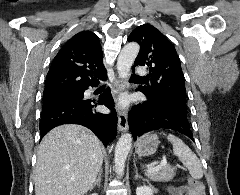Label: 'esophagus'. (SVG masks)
Wrapping results in <instances>:
<instances>
[{
  "instance_id": "1",
  "label": "esophagus",
  "mask_w": 240,
  "mask_h": 195,
  "mask_svg": "<svg viewBox=\"0 0 240 195\" xmlns=\"http://www.w3.org/2000/svg\"><path fill=\"white\" fill-rule=\"evenodd\" d=\"M125 87L126 83L116 80V90L118 92L124 90ZM127 130H128L127 112L125 109L118 108V131L126 132Z\"/></svg>"
}]
</instances>
